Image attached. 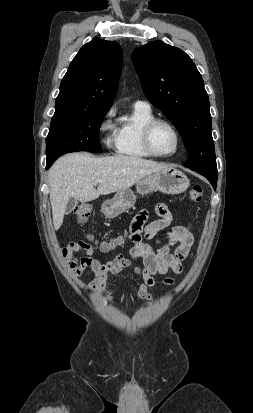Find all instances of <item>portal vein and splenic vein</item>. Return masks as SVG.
Here are the masks:
<instances>
[{"mask_svg": "<svg viewBox=\"0 0 253 413\" xmlns=\"http://www.w3.org/2000/svg\"><path fill=\"white\" fill-rule=\"evenodd\" d=\"M101 181L100 180H98V181H95V184H98V183H100Z\"/></svg>", "mask_w": 253, "mask_h": 413, "instance_id": "portal-vein-and-splenic-vein-1", "label": "portal vein and splenic vein"}]
</instances>
